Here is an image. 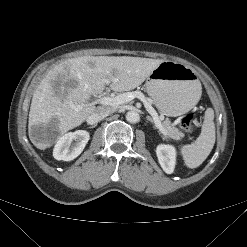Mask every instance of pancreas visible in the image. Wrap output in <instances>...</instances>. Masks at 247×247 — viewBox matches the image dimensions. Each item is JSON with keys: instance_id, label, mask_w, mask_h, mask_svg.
Listing matches in <instances>:
<instances>
[{"instance_id": "cf45deb5", "label": "pancreas", "mask_w": 247, "mask_h": 247, "mask_svg": "<svg viewBox=\"0 0 247 247\" xmlns=\"http://www.w3.org/2000/svg\"><path fill=\"white\" fill-rule=\"evenodd\" d=\"M163 127L166 130L168 136L170 138H173L175 140H180L181 138L184 137V134L180 132L177 128H175L169 121V119H166L163 122Z\"/></svg>"}]
</instances>
